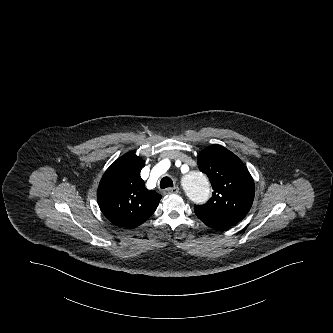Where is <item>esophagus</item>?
I'll use <instances>...</instances> for the list:
<instances>
[{"label":"esophagus","mask_w":333,"mask_h":333,"mask_svg":"<svg viewBox=\"0 0 333 333\" xmlns=\"http://www.w3.org/2000/svg\"><path fill=\"white\" fill-rule=\"evenodd\" d=\"M179 192V188L177 186H174V187H171V188H167L163 191V193L165 195H168V194H175V193H178Z\"/></svg>","instance_id":"obj_1"}]
</instances>
